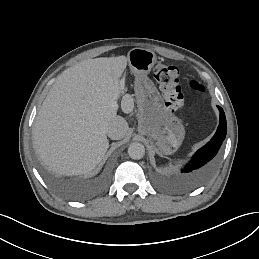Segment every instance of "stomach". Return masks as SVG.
<instances>
[{"label": "stomach", "mask_w": 259, "mask_h": 259, "mask_svg": "<svg viewBox=\"0 0 259 259\" xmlns=\"http://www.w3.org/2000/svg\"><path fill=\"white\" fill-rule=\"evenodd\" d=\"M130 70L136 76L146 75L156 63V54L144 48H133L127 54Z\"/></svg>", "instance_id": "1"}]
</instances>
